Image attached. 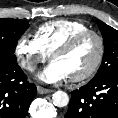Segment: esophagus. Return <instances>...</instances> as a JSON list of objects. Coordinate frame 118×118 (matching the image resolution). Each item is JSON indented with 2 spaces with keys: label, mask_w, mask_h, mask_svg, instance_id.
<instances>
[{
  "label": "esophagus",
  "mask_w": 118,
  "mask_h": 118,
  "mask_svg": "<svg viewBox=\"0 0 118 118\" xmlns=\"http://www.w3.org/2000/svg\"><path fill=\"white\" fill-rule=\"evenodd\" d=\"M37 91H38L39 94H47V93L53 92V90L47 89V88H44V87H41V86H37Z\"/></svg>",
  "instance_id": "34e87169"
}]
</instances>
